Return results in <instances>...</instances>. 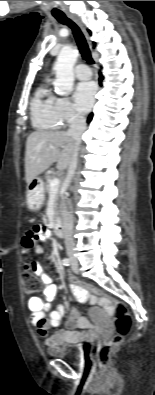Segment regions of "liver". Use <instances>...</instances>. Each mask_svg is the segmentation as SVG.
Returning a JSON list of instances; mask_svg holds the SVG:
<instances>
[{
  "mask_svg": "<svg viewBox=\"0 0 155 395\" xmlns=\"http://www.w3.org/2000/svg\"><path fill=\"white\" fill-rule=\"evenodd\" d=\"M75 148L74 140L63 131H35L26 142L25 179L29 184L57 162L59 169L69 166Z\"/></svg>",
  "mask_w": 155,
  "mask_h": 395,
  "instance_id": "liver-1",
  "label": "liver"
}]
</instances>
